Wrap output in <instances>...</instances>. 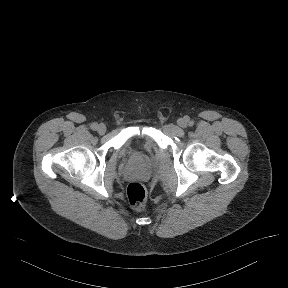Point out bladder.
I'll list each match as a JSON object with an SVG mask.
<instances>
[{
	"label": "bladder",
	"instance_id": "obj_1",
	"mask_svg": "<svg viewBox=\"0 0 288 288\" xmlns=\"http://www.w3.org/2000/svg\"><path fill=\"white\" fill-rule=\"evenodd\" d=\"M158 148L156 140L151 136H131L122 145L120 152L123 156H132L139 151L153 154Z\"/></svg>",
	"mask_w": 288,
	"mask_h": 288
}]
</instances>
